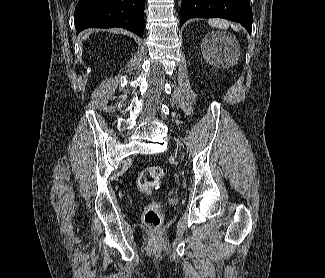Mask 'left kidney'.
<instances>
[{"label":"left kidney","mask_w":325,"mask_h":278,"mask_svg":"<svg viewBox=\"0 0 325 278\" xmlns=\"http://www.w3.org/2000/svg\"><path fill=\"white\" fill-rule=\"evenodd\" d=\"M216 45H217V46H222V45H223V41H218ZM204 54H205V56H206L207 58H210V54H209L208 52H204Z\"/></svg>","instance_id":"obj_1"}]
</instances>
